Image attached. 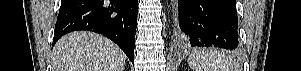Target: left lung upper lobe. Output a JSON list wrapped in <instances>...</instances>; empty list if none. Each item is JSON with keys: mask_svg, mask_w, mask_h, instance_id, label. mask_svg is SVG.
Wrapping results in <instances>:
<instances>
[{"mask_svg": "<svg viewBox=\"0 0 301 71\" xmlns=\"http://www.w3.org/2000/svg\"><path fill=\"white\" fill-rule=\"evenodd\" d=\"M175 38L177 39V34H176V30H175Z\"/></svg>", "mask_w": 301, "mask_h": 71, "instance_id": "left-lung-upper-lobe-1", "label": "left lung upper lobe"}]
</instances>
